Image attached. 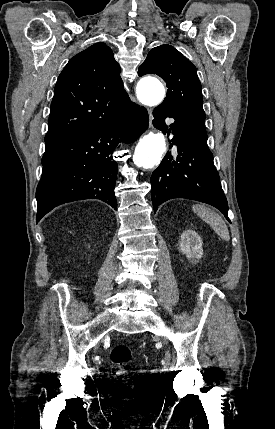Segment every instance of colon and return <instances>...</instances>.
<instances>
[{"label": "colon", "mask_w": 275, "mask_h": 429, "mask_svg": "<svg viewBox=\"0 0 275 429\" xmlns=\"http://www.w3.org/2000/svg\"><path fill=\"white\" fill-rule=\"evenodd\" d=\"M131 357V350L126 345H118L112 349L109 359L115 368L114 374L117 378L123 379L127 376L122 366L127 364L131 360Z\"/></svg>", "instance_id": "obj_1"}]
</instances>
